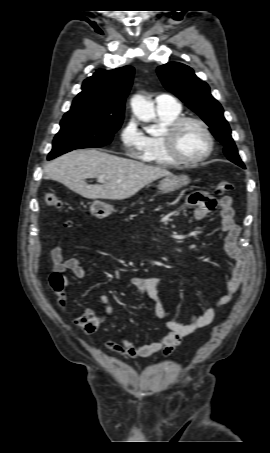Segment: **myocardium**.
I'll return each instance as SVG.
<instances>
[{
  "instance_id": "1",
  "label": "myocardium",
  "mask_w": 270,
  "mask_h": 453,
  "mask_svg": "<svg viewBox=\"0 0 270 453\" xmlns=\"http://www.w3.org/2000/svg\"><path fill=\"white\" fill-rule=\"evenodd\" d=\"M187 123H195L199 125L204 131L207 138V149L206 151L197 158H185L181 156L176 149V138L181 128ZM161 142L167 156L176 164H197L206 160L213 152L214 149V137L208 124L193 116H180L173 120L168 126L165 127L161 134Z\"/></svg>"
}]
</instances>
